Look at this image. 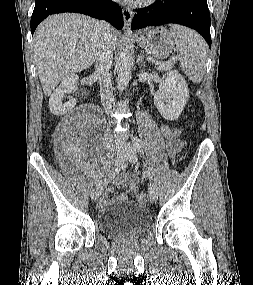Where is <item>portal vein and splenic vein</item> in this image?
I'll use <instances>...</instances> for the list:
<instances>
[{
	"mask_svg": "<svg viewBox=\"0 0 253 285\" xmlns=\"http://www.w3.org/2000/svg\"><path fill=\"white\" fill-rule=\"evenodd\" d=\"M177 59H178L177 56L173 57L172 60L166 64V66L160 64L159 67H158V69L170 68V67L173 65V63H174Z\"/></svg>",
	"mask_w": 253,
	"mask_h": 285,
	"instance_id": "18ae733b",
	"label": "portal vein and splenic vein"
}]
</instances>
